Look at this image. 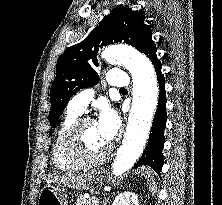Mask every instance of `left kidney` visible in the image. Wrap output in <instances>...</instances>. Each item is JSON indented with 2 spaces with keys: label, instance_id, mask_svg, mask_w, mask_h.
<instances>
[{
  "label": "left kidney",
  "instance_id": "5707ae66",
  "mask_svg": "<svg viewBox=\"0 0 222 205\" xmlns=\"http://www.w3.org/2000/svg\"><path fill=\"white\" fill-rule=\"evenodd\" d=\"M112 205H139L138 197L132 192L120 193Z\"/></svg>",
  "mask_w": 222,
  "mask_h": 205
}]
</instances>
